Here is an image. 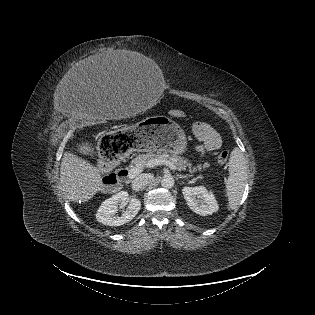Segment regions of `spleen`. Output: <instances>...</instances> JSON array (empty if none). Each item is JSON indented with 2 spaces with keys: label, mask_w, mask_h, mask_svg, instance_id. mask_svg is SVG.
Masks as SVG:
<instances>
[{
  "label": "spleen",
  "mask_w": 315,
  "mask_h": 315,
  "mask_svg": "<svg viewBox=\"0 0 315 315\" xmlns=\"http://www.w3.org/2000/svg\"><path fill=\"white\" fill-rule=\"evenodd\" d=\"M229 176L225 182L229 209H235L243 195L248 165L243 153L235 148L229 159Z\"/></svg>",
  "instance_id": "spleen-1"
}]
</instances>
